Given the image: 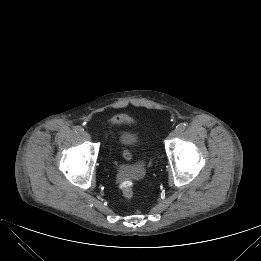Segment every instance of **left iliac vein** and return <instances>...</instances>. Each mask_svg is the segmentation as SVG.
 Listing matches in <instances>:
<instances>
[{
	"label": "left iliac vein",
	"mask_w": 261,
	"mask_h": 261,
	"mask_svg": "<svg viewBox=\"0 0 261 261\" xmlns=\"http://www.w3.org/2000/svg\"><path fill=\"white\" fill-rule=\"evenodd\" d=\"M179 134V132L177 130H173L170 134H169V138L172 139V138H175L177 137Z\"/></svg>",
	"instance_id": "1"
}]
</instances>
